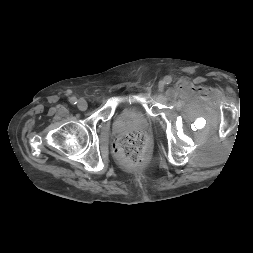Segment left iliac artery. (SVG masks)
Here are the masks:
<instances>
[{
  "label": "left iliac artery",
  "mask_w": 253,
  "mask_h": 253,
  "mask_svg": "<svg viewBox=\"0 0 253 253\" xmlns=\"http://www.w3.org/2000/svg\"><path fill=\"white\" fill-rule=\"evenodd\" d=\"M171 81H172V77H171V76H166V77L164 78V82H165L166 84H170Z\"/></svg>",
  "instance_id": "1"
}]
</instances>
